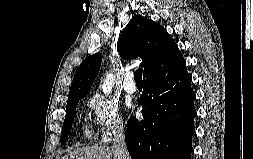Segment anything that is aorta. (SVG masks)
<instances>
[{"label":"aorta","instance_id":"aorta-1","mask_svg":"<svg viewBox=\"0 0 253 159\" xmlns=\"http://www.w3.org/2000/svg\"><path fill=\"white\" fill-rule=\"evenodd\" d=\"M114 85L113 74H108L101 85V88L105 94H109L112 91Z\"/></svg>","mask_w":253,"mask_h":159}]
</instances>
